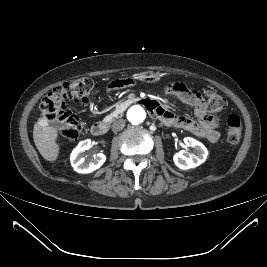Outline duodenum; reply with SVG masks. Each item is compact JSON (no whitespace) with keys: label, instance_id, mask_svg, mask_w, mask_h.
I'll use <instances>...</instances> for the list:
<instances>
[{"label":"duodenum","instance_id":"obj_1","mask_svg":"<svg viewBox=\"0 0 267 267\" xmlns=\"http://www.w3.org/2000/svg\"><path fill=\"white\" fill-rule=\"evenodd\" d=\"M146 105L152 107L153 102L151 101H145ZM109 125L106 122H97L94 123L91 127V133L94 136H103L108 132Z\"/></svg>","mask_w":267,"mask_h":267}]
</instances>
